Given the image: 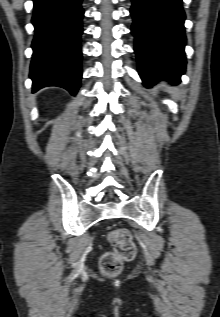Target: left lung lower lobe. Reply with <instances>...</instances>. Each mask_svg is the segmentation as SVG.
I'll return each mask as SVG.
<instances>
[{"mask_svg": "<svg viewBox=\"0 0 220 317\" xmlns=\"http://www.w3.org/2000/svg\"><path fill=\"white\" fill-rule=\"evenodd\" d=\"M139 75L145 86L161 79L179 83L185 72V14L182 0H132Z\"/></svg>", "mask_w": 220, "mask_h": 317, "instance_id": "left-lung-lower-lobe-1", "label": "left lung lower lobe"}]
</instances>
